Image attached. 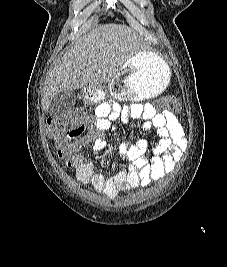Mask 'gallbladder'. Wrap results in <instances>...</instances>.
Segmentation results:
<instances>
[{"label":"gallbladder","mask_w":227,"mask_h":267,"mask_svg":"<svg viewBox=\"0 0 227 267\" xmlns=\"http://www.w3.org/2000/svg\"><path fill=\"white\" fill-rule=\"evenodd\" d=\"M75 101V92L73 90H64L54 96L47 111L54 117L62 116L74 107Z\"/></svg>","instance_id":"1"}]
</instances>
